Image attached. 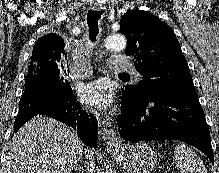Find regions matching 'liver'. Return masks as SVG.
I'll use <instances>...</instances> for the list:
<instances>
[{"mask_svg": "<svg viewBox=\"0 0 219 173\" xmlns=\"http://www.w3.org/2000/svg\"><path fill=\"white\" fill-rule=\"evenodd\" d=\"M65 124L38 115L28 121L7 147L2 173H71L83 154L94 169L93 152Z\"/></svg>", "mask_w": 219, "mask_h": 173, "instance_id": "1", "label": "liver"}]
</instances>
